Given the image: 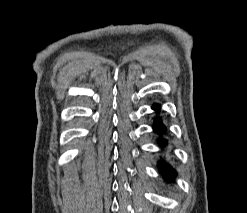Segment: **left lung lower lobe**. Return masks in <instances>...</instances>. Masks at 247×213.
I'll return each mask as SVG.
<instances>
[{
	"label": "left lung lower lobe",
	"instance_id": "0a47b994",
	"mask_svg": "<svg viewBox=\"0 0 247 213\" xmlns=\"http://www.w3.org/2000/svg\"><path fill=\"white\" fill-rule=\"evenodd\" d=\"M153 109L158 110L159 109V105H156L155 104L153 106ZM154 130L155 131H160V132H162V131L165 130V127L163 126V124H162V122H161L160 119H157L155 121ZM159 142H160V144H166V141L163 140V139H160ZM159 168H160L161 173L167 179H171V178L174 177V174H175L174 170L170 166H168L167 164H165L164 162H159Z\"/></svg>",
	"mask_w": 247,
	"mask_h": 213
}]
</instances>
